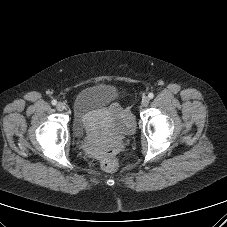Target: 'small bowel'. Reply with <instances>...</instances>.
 <instances>
[{
  "instance_id": "1",
  "label": "small bowel",
  "mask_w": 227,
  "mask_h": 227,
  "mask_svg": "<svg viewBox=\"0 0 227 227\" xmlns=\"http://www.w3.org/2000/svg\"><path fill=\"white\" fill-rule=\"evenodd\" d=\"M109 112L111 114V116L113 118H115L116 120H119L121 118H123L125 115L123 109L121 108V106L118 103H113L110 107H109ZM92 151L95 153H98L97 150L95 148H92Z\"/></svg>"
}]
</instances>
